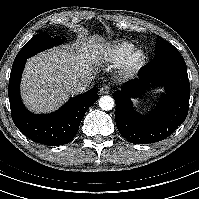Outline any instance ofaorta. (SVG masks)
Listing matches in <instances>:
<instances>
[{"instance_id": "762f6f07", "label": "aorta", "mask_w": 199, "mask_h": 199, "mask_svg": "<svg viewBox=\"0 0 199 199\" xmlns=\"http://www.w3.org/2000/svg\"><path fill=\"white\" fill-rule=\"evenodd\" d=\"M114 99L111 96H102L99 99V107L102 110L109 111L114 107Z\"/></svg>"}]
</instances>
